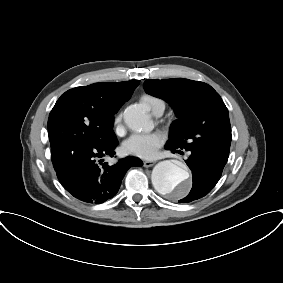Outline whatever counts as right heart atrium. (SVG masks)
Returning a JSON list of instances; mask_svg holds the SVG:
<instances>
[{
	"label": "right heart atrium",
	"instance_id": "right-heart-atrium-1",
	"mask_svg": "<svg viewBox=\"0 0 283 283\" xmlns=\"http://www.w3.org/2000/svg\"><path fill=\"white\" fill-rule=\"evenodd\" d=\"M122 114L118 113L114 118V126L118 130L121 126Z\"/></svg>",
	"mask_w": 283,
	"mask_h": 283
}]
</instances>
